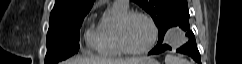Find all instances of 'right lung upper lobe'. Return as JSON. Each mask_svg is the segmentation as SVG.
I'll use <instances>...</instances> for the list:
<instances>
[{
	"mask_svg": "<svg viewBox=\"0 0 242 64\" xmlns=\"http://www.w3.org/2000/svg\"><path fill=\"white\" fill-rule=\"evenodd\" d=\"M94 0H56L50 19L77 16L90 11Z\"/></svg>",
	"mask_w": 242,
	"mask_h": 64,
	"instance_id": "cb5924a9",
	"label": "right lung upper lobe"
}]
</instances>
